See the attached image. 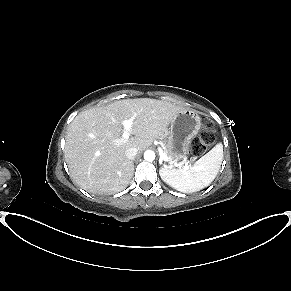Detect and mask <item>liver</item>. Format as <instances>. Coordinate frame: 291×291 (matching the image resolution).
I'll return each mask as SVG.
<instances>
[{
    "instance_id": "6515ba94",
    "label": "liver",
    "mask_w": 291,
    "mask_h": 291,
    "mask_svg": "<svg viewBox=\"0 0 291 291\" xmlns=\"http://www.w3.org/2000/svg\"><path fill=\"white\" fill-rule=\"evenodd\" d=\"M187 110L163 100L137 98L81 112L70 123L66 135L65 159L72 179L90 193L124 190L134 173V163L126 157V150H145L167 132L179 113ZM131 118L133 136L121 142V122Z\"/></svg>"
}]
</instances>
